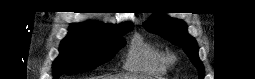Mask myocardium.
<instances>
[{"instance_id": "1", "label": "myocardium", "mask_w": 255, "mask_h": 79, "mask_svg": "<svg viewBox=\"0 0 255 79\" xmlns=\"http://www.w3.org/2000/svg\"><path fill=\"white\" fill-rule=\"evenodd\" d=\"M176 61L175 55L172 53L165 54V62L168 66L173 65Z\"/></svg>"}]
</instances>
